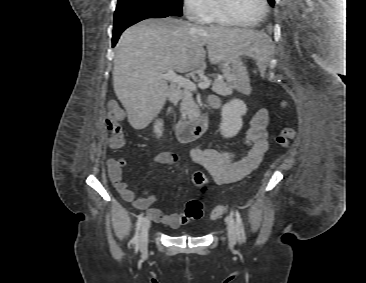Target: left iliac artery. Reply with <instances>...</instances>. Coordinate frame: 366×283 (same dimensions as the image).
Segmentation results:
<instances>
[{"mask_svg": "<svg viewBox=\"0 0 366 283\" xmlns=\"http://www.w3.org/2000/svg\"><path fill=\"white\" fill-rule=\"evenodd\" d=\"M235 216H236V223H237V228H238V237H239V239L244 240V238H245L244 226H243V222H242L240 213L237 210L235 212Z\"/></svg>", "mask_w": 366, "mask_h": 283, "instance_id": "obj_1", "label": "left iliac artery"}]
</instances>
